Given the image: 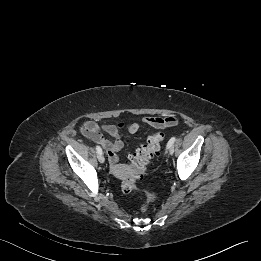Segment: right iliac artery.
I'll return each instance as SVG.
<instances>
[{"label": "right iliac artery", "mask_w": 261, "mask_h": 261, "mask_svg": "<svg viewBox=\"0 0 261 261\" xmlns=\"http://www.w3.org/2000/svg\"><path fill=\"white\" fill-rule=\"evenodd\" d=\"M96 151H97L98 154H102V149L98 145L96 146Z\"/></svg>", "instance_id": "right-iliac-artery-1"}]
</instances>
